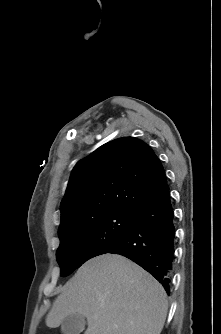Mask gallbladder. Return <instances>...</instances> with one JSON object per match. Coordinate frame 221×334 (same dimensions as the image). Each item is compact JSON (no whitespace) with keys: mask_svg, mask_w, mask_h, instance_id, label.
<instances>
[{"mask_svg":"<svg viewBox=\"0 0 221 334\" xmlns=\"http://www.w3.org/2000/svg\"><path fill=\"white\" fill-rule=\"evenodd\" d=\"M85 317L75 313L67 316L61 323L63 334H80L85 329Z\"/></svg>","mask_w":221,"mask_h":334,"instance_id":"gallbladder-1","label":"gallbladder"}]
</instances>
